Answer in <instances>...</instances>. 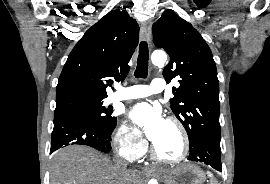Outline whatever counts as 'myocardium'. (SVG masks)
I'll return each mask as SVG.
<instances>
[{
	"label": "myocardium",
	"mask_w": 270,
	"mask_h": 184,
	"mask_svg": "<svg viewBox=\"0 0 270 184\" xmlns=\"http://www.w3.org/2000/svg\"><path fill=\"white\" fill-rule=\"evenodd\" d=\"M167 122L174 125L180 134L181 142H182L181 152L178 156H176L174 158H166V157H163L158 152L157 148L153 144L152 145V154H153L154 158L156 160H158L159 162L174 165V164L181 163L182 161H184L186 159V157L188 156V153H189V149H190V142H189V136H188V133H187L185 126L178 118L169 117L167 119Z\"/></svg>",
	"instance_id": "obj_1"
}]
</instances>
